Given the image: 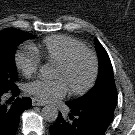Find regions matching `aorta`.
I'll return each instance as SVG.
<instances>
[{
    "label": "aorta",
    "mask_w": 135,
    "mask_h": 135,
    "mask_svg": "<svg viewBox=\"0 0 135 135\" xmlns=\"http://www.w3.org/2000/svg\"><path fill=\"white\" fill-rule=\"evenodd\" d=\"M40 75L43 78L50 79L53 75V70L48 65H43L40 68ZM42 117L47 122H54L58 117V110L55 106L46 105L42 109Z\"/></svg>",
    "instance_id": "obj_1"
}]
</instances>
